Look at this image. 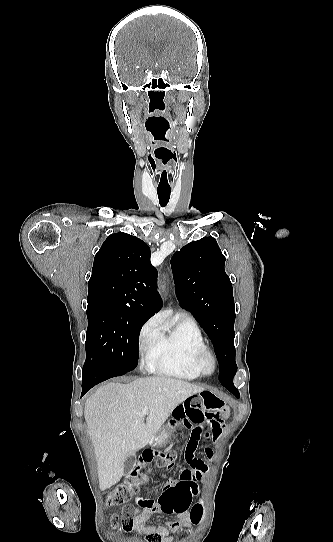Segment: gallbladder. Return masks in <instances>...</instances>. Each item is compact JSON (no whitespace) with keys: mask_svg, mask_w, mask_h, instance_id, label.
<instances>
[{"mask_svg":"<svg viewBox=\"0 0 333 542\" xmlns=\"http://www.w3.org/2000/svg\"><path fill=\"white\" fill-rule=\"evenodd\" d=\"M136 464V456H129V458H126L124 462V476L126 474H129V472H132L133 468H135Z\"/></svg>","mask_w":333,"mask_h":542,"instance_id":"obj_1","label":"gallbladder"}]
</instances>
